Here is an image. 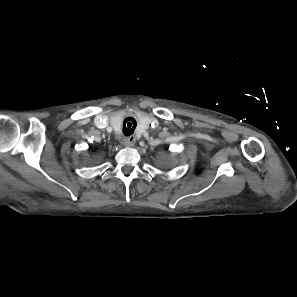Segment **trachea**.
<instances>
[{"mask_svg":"<svg viewBox=\"0 0 297 297\" xmlns=\"http://www.w3.org/2000/svg\"><path fill=\"white\" fill-rule=\"evenodd\" d=\"M129 128H130L129 126H128V128L126 126H123L124 135L130 136L131 134H133L134 129H135L134 126L131 129H129Z\"/></svg>","mask_w":297,"mask_h":297,"instance_id":"1","label":"trachea"}]
</instances>
